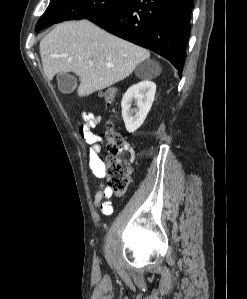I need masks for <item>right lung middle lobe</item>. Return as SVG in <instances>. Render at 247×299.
Segmentation results:
<instances>
[{"instance_id":"1","label":"right lung middle lobe","mask_w":247,"mask_h":299,"mask_svg":"<svg viewBox=\"0 0 247 299\" xmlns=\"http://www.w3.org/2000/svg\"><path fill=\"white\" fill-rule=\"evenodd\" d=\"M127 0H51L35 31L64 20L90 19L108 13Z\"/></svg>"}]
</instances>
